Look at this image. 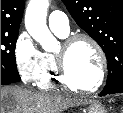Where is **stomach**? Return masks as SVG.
I'll return each instance as SVG.
<instances>
[{
    "label": "stomach",
    "mask_w": 123,
    "mask_h": 113,
    "mask_svg": "<svg viewBox=\"0 0 123 113\" xmlns=\"http://www.w3.org/2000/svg\"><path fill=\"white\" fill-rule=\"evenodd\" d=\"M85 113H107L104 105L98 101H91Z\"/></svg>",
    "instance_id": "obj_1"
}]
</instances>
